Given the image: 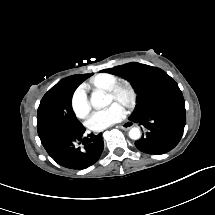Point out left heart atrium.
<instances>
[{
    "label": "left heart atrium",
    "instance_id": "39dd6f15",
    "mask_svg": "<svg viewBox=\"0 0 215 215\" xmlns=\"http://www.w3.org/2000/svg\"><path fill=\"white\" fill-rule=\"evenodd\" d=\"M125 111L123 107L119 105L109 106L103 110L98 111L97 113H92L89 116L88 123L90 127L97 129L112 120H119L123 118Z\"/></svg>",
    "mask_w": 215,
    "mask_h": 215
}]
</instances>
